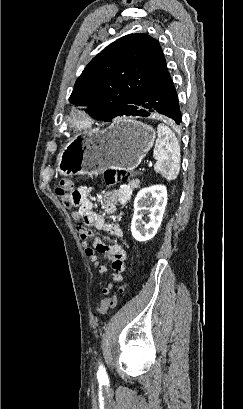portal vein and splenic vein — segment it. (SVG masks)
<instances>
[{
  "label": "portal vein and splenic vein",
  "mask_w": 243,
  "mask_h": 409,
  "mask_svg": "<svg viewBox=\"0 0 243 409\" xmlns=\"http://www.w3.org/2000/svg\"><path fill=\"white\" fill-rule=\"evenodd\" d=\"M148 166L151 167V166H152V163L150 162Z\"/></svg>",
  "instance_id": "1"
}]
</instances>
